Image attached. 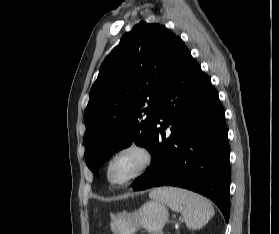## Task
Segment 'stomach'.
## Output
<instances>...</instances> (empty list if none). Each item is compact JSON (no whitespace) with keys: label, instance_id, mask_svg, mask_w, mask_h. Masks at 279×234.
<instances>
[{"label":"stomach","instance_id":"obj_1","mask_svg":"<svg viewBox=\"0 0 279 234\" xmlns=\"http://www.w3.org/2000/svg\"><path fill=\"white\" fill-rule=\"evenodd\" d=\"M168 217L165 204L151 200L136 211L113 214L110 227L114 234H134L139 228L157 234L168 221Z\"/></svg>","mask_w":279,"mask_h":234}]
</instances>
